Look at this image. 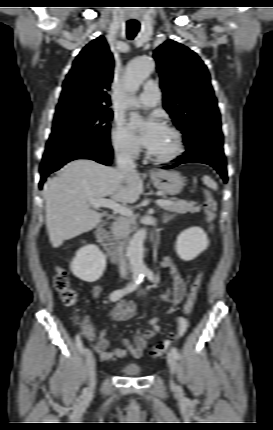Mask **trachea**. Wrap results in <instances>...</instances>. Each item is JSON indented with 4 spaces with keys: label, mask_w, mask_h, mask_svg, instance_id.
Wrapping results in <instances>:
<instances>
[{
    "label": "trachea",
    "mask_w": 273,
    "mask_h": 430,
    "mask_svg": "<svg viewBox=\"0 0 273 430\" xmlns=\"http://www.w3.org/2000/svg\"><path fill=\"white\" fill-rule=\"evenodd\" d=\"M140 25L138 23H128L127 24V38L129 40H133L136 36L137 32L139 31Z\"/></svg>",
    "instance_id": "1"
}]
</instances>
